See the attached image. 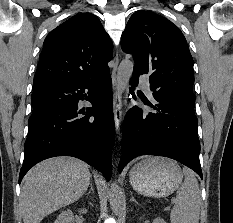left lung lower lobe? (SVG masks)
Listing matches in <instances>:
<instances>
[{
	"label": "left lung lower lobe",
	"instance_id": "obj_1",
	"mask_svg": "<svg viewBox=\"0 0 233 223\" xmlns=\"http://www.w3.org/2000/svg\"><path fill=\"white\" fill-rule=\"evenodd\" d=\"M139 75L133 71L132 86H137ZM130 93L135 98L134 93ZM154 99L155 104L150 106L156 113H147L135 106L125 116L119 171L137 156L157 155L175 159L203 178L195 102L178 98Z\"/></svg>",
	"mask_w": 233,
	"mask_h": 223
}]
</instances>
